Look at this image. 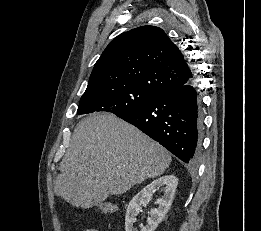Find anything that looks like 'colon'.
<instances>
[{
	"label": "colon",
	"mask_w": 261,
	"mask_h": 231,
	"mask_svg": "<svg viewBox=\"0 0 261 231\" xmlns=\"http://www.w3.org/2000/svg\"><path fill=\"white\" fill-rule=\"evenodd\" d=\"M96 209L103 214H111L116 211V205L110 202L98 204Z\"/></svg>",
	"instance_id": "colon-1"
}]
</instances>
